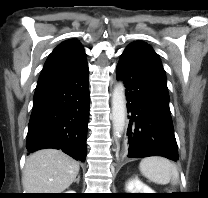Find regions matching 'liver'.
Segmentation results:
<instances>
[{
    "mask_svg": "<svg viewBox=\"0 0 208 198\" xmlns=\"http://www.w3.org/2000/svg\"><path fill=\"white\" fill-rule=\"evenodd\" d=\"M79 163L56 149H43L30 155L22 184L28 193H61L79 173Z\"/></svg>",
    "mask_w": 208,
    "mask_h": 198,
    "instance_id": "obj_1",
    "label": "liver"
}]
</instances>
